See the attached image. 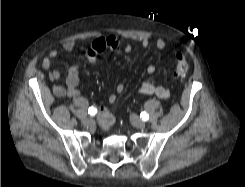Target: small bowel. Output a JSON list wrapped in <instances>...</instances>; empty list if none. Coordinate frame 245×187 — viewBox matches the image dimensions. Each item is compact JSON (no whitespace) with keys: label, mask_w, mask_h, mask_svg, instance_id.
I'll return each mask as SVG.
<instances>
[{"label":"small bowel","mask_w":245,"mask_h":187,"mask_svg":"<svg viewBox=\"0 0 245 187\" xmlns=\"http://www.w3.org/2000/svg\"><path fill=\"white\" fill-rule=\"evenodd\" d=\"M140 43L143 48H147L149 46V40L147 38H142ZM74 47L75 43L73 41H66L63 44V49L66 52L73 51ZM155 47L158 50H163L166 47L165 39H157ZM118 48L119 42L115 37H100L94 40L87 47L85 51V59L90 64H96L101 53L105 51H115ZM124 50L126 52H130L131 46L126 45ZM58 53V50L55 48L50 50L48 55L42 60L41 63L43 69L48 72L50 81L53 82L52 91L57 97H78L80 94L78 85L82 63L76 62L69 68L66 77V87H64L63 85L59 84L61 79V73L59 69L53 66V60L58 56ZM147 72L149 75L155 74L157 72V66L155 64H150L147 68ZM124 90L125 86L122 83H119L116 87L117 93L121 94L124 92ZM139 92L145 95H155L160 99H168L170 97V90L167 87L154 83L150 78H146L142 81L139 87ZM116 99V94H112L109 97L110 102H115ZM100 116L101 124L105 129H109L115 122V118L108 107L100 108Z\"/></svg>","instance_id":"small-bowel-1"}]
</instances>
